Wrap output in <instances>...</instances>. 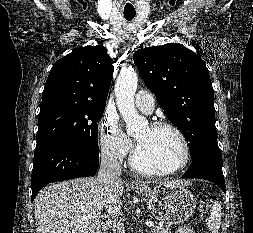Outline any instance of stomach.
I'll list each match as a JSON object with an SVG mask.
<instances>
[{"label":"stomach","instance_id":"stomach-1","mask_svg":"<svg viewBox=\"0 0 253 233\" xmlns=\"http://www.w3.org/2000/svg\"><path fill=\"white\" fill-rule=\"evenodd\" d=\"M148 198V205L154 216L167 225H178L195 211L194 195L181 184L165 183L149 187L147 183L135 189Z\"/></svg>","mask_w":253,"mask_h":233}]
</instances>
